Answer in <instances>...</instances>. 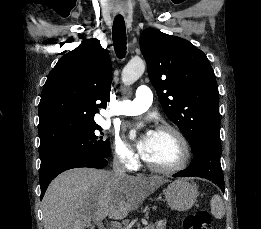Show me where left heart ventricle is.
Returning <instances> with one entry per match:
<instances>
[{
  "label": "left heart ventricle",
  "instance_id": "left-heart-ventricle-1",
  "mask_svg": "<svg viewBox=\"0 0 261 229\" xmlns=\"http://www.w3.org/2000/svg\"><path fill=\"white\" fill-rule=\"evenodd\" d=\"M180 147L168 132H155L145 158L156 166L175 165L180 158Z\"/></svg>",
  "mask_w": 261,
  "mask_h": 229
}]
</instances>
